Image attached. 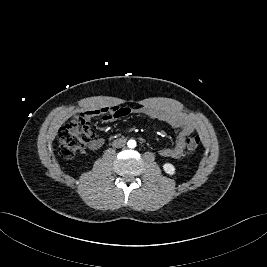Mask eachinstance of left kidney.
<instances>
[{
    "label": "left kidney",
    "instance_id": "5707ae66",
    "mask_svg": "<svg viewBox=\"0 0 267 267\" xmlns=\"http://www.w3.org/2000/svg\"><path fill=\"white\" fill-rule=\"evenodd\" d=\"M163 169L168 175H174L175 174V167L171 163H165L163 165Z\"/></svg>",
    "mask_w": 267,
    "mask_h": 267
}]
</instances>
